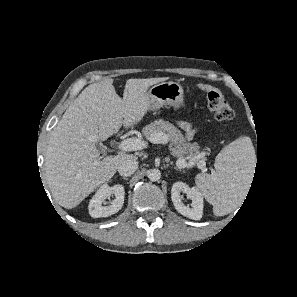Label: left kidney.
I'll return each mask as SVG.
<instances>
[{
    "mask_svg": "<svg viewBox=\"0 0 297 297\" xmlns=\"http://www.w3.org/2000/svg\"><path fill=\"white\" fill-rule=\"evenodd\" d=\"M186 193L192 200V208L185 206L181 200L180 193ZM171 199L175 209L183 216L193 220H200L203 215V194L197 187H189L183 182H176L172 185Z\"/></svg>",
    "mask_w": 297,
    "mask_h": 297,
    "instance_id": "1",
    "label": "left kidney"
}]
</instances>
